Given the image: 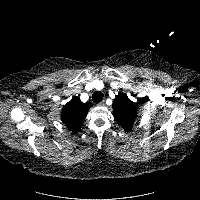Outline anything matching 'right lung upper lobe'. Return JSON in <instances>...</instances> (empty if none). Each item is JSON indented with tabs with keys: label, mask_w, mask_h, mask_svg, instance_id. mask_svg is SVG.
Returning <instances> with one entry per match:
<instances>
[{
	"label": "right lung upper lobe",
	"mask_w": 200,
	"mask_h": 200,
	"mask_svg": "<svg viewBox=\"0 0 200 200\" xmlns=\"http://www.w3.org/2000/svg\"><path fill=\"white\" fill-rule=\"evenodd\" d=\"M91 106L90 102L83 103L78 97H74L63 107L61 120L73 134L80 130Z\"/></svg>",
	"instance_id": "right-lung-upper-lobe-1"
}]
</instances>
